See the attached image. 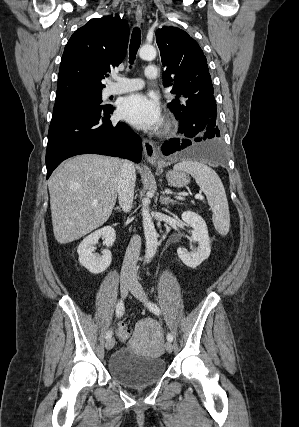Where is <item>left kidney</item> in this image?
Wrapping results in <instances>:
<instances>
[{"mask_svg":"<svg viewBox=\"0 0 299 427\" xmlns=\"http://www.w3.org/2000/svg\"><path fill=\"white\" fill-rule=\"evenodd\" d=\"M181 218L186 225L192 227L191 238L193 242L198 243V247L191 246V252L179 248L177 254L186 266L196 268L210 256L211 246L207 225L199 214L192 211L183 212Z\"/></svg>","mask_w":299,"mask_h":427,"instance_id":"left-kidney-1","label":"left kidney"}]
</instances>
